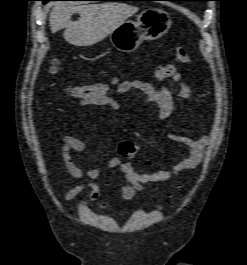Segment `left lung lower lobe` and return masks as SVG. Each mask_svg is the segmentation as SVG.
Wrapping results in <instances>:
<instances>
[{
	"label": "left lung lower lobe",
	"mask_w": 247,
	"mask_h": 265,
	"mask_svg": "<svg viewBox=\"0 0 247 265\" xmlns=\"http://www.w3.org/2000/svg\"><path fill=\"white\" fill-rule=\"evenodd\" d=\"M171 1H183V0H171ZM189 1H196V0H189Z\"/></svg>",
	"instance_id": "0a47b994"
}]
</instances>
